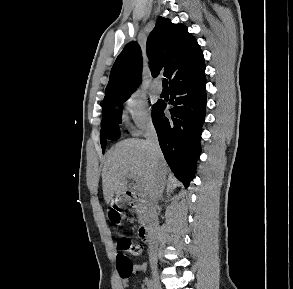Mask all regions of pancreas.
Instances as JSON below:
<instances>
[{
	"instance_id": "1",
	"label": "pancreas",
	"mask_w": 293,
	"mask_h": 289,
	"mask_svg": "<svg viewBox=\"0 0 293 289\" xmlns=\"http://www.w3.org/2000/svg\"><path fill=\"white\" fill-rule=\"evenodd\" d=\"M146 205L143 203H138L136 206V213L138 215V221L139 223H142L144 221L145 218V214H146Z\"/></svg>"
}]
</instances>
